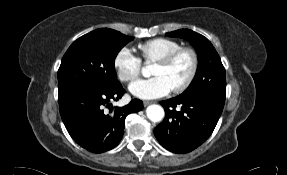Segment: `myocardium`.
<instances>
[{"instance_id":"1","label":"myocardium","mask_w":287,"mask_h":175,"mask_svg":"<svg viewBox=\"0 0 287 175\" xmlns=\"http://www.w3.org/2000/svg\"><path fill=\"white\" fill-rule=\"evenodd\" d=\"M182 54H188L191 57V70L186 79L172 89L174 93H181L185 91L193 83L199 69V57L196 50L191 47L182 46L155 61L157 64L170 65Z\"/></svg>"}]
</instances>
